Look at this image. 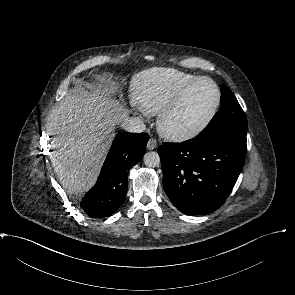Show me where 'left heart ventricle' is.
Segmentation results:
<instances>
[{
	"label": "left heart ventricle",
	"mask_w": 295,
	"mask_h": 295,
	"mask_svg": "<svg viewBox=\"0 0 295 295\" xmlns=\"http://www.w3.org/2000/svg\"><path fill=\"white\" fill-rule=\"evenodd\" d=\"M217 98L215 87L201 81L185 96L167 120L172 132H187L202 124L211 113Z\"/></svg>",
	"instance_id": "1"
}]
</instances>
